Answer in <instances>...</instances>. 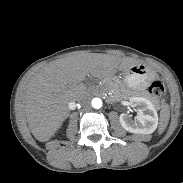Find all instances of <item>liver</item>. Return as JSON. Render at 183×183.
<instances>
[{
    "instance_id": "liver-1",
    "label": "liver",
    "mask_w": 183,
    "mask_h": 183,
    "mask_svg": "<svg viewBox=\"0 0 183 183\" xmlns=\"http://www.w3.org/2000/svg\"><path fill=\"white\" fill-rule=\"evenodd\" d=\"M138 62L101 53L79 52L52 61L27 82L23 105L31 133L40 142L54 135L69 116L68 103L79 98L87 75L108 77L117 69L127 70Z\"/></svg>"
}]
</instances>
